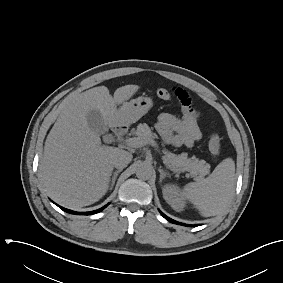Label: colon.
<instances>
[{
    "label": "colon",
    "mask_w": 283,
    "mask_h": 283,
    "mask_svg": "<svg viewBox=\"0 0 283 283\" xmlns=\"http://www.w3.org/2000/svg\"><path fill=\"white\" fill-rule=\"evenodd\" d=\"M156 94L162 100H168L171 98L172 95V93L165 88L158 89L156 91ZM208 147L213 158L216 159L220 156L222 145H221V139L217 133H212L209 136Z\"/></svg>",
    "instance_id": "colon-1"
}]
</instances>
